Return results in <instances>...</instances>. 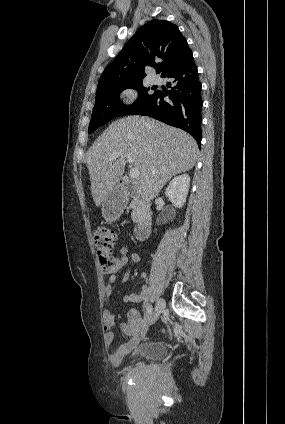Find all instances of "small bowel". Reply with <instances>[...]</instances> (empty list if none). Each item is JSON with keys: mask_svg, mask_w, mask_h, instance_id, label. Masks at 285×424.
<instances>
[{"mask_svg": "<svg viewBox=\"0 0 285 424\" xmlns=\"http://www.w3.org/2000/svg\"><path fill=\"white\" fill-rule=\"evenodd\" d=\"M131 262L134 265L140 261V256L135 252H129L127 247L120 248V258L118 260V268H122ZM131 268H129L123 275L122 282L126 283L130 277ZM107 274L106 271H104ZM141 280H146V275L141 274ZM117 281L116 271L108 274V280L104 286L103 292L105 297H111L113 294V286ZM148 289L146 286H142L138 292H131L124 296L125 303H144V316L136 309H131L127 315L126 321L122 322L119 326L120 331L123 335L128 338V341L116 346L109 354L108 361L111 364H118L122 358L131 352L135 346L139 343L144 333L147 331L152 323V319L149 314L150 304L147 302ZM116 324V314L112 311L106 310L103 313V329L104 342L111 344L114 340L113 329Z\"/></svg>", "mask_w": 285, "mask_h": 424, "instance_id": "1", "label": "small bowel"}]
</instances>
